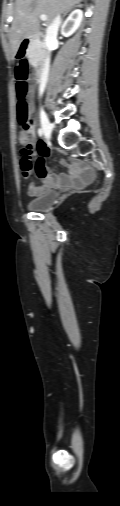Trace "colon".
<instances>
[{
	"label": "colon",
	"mask_w": 120,
	"mask_h": 506,
	"mask_svg": "<svg viewBox=\"0 0 120 506\" xmlns=\"http://www.w3.org/2000/svg\"><path fill=\"white\" fill-rule=\"evenodd\" d=\"M17 53L18 50L15 49L13 51V58L20 62L16 72L17 119L22 126V130L18 134V141L22 145L20 157L29 159L32 156L33 144L36 140L31 130L32 124L30 121V106L28 102L29 84L27 83V78L29 71L26 63L27 59L19 58Z\"/></svg>",
	"instance_id": "obj_1"
}]
</instances>
